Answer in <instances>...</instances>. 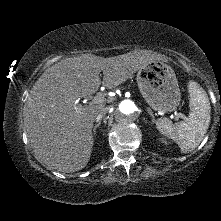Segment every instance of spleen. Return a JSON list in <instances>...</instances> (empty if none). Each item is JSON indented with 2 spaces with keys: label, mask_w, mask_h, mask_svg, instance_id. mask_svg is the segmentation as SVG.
<instances>
[{
  "label": "spleen",
  "mask_w": 221,
  "mask_h": 221,
  "mask_svg": "<svg viewBox=\"0 0 221 221\" xmlns=\"http://www.w3.org/2000/svg\"><path fill=\"white\" fill-rule=\"evenodd\" d=\"M191 112L186 120L173 124L168 118L156 122L157 129L176 142L182 153L193 151L203 140L210 124V102L205 90L195 81H189Z\"/></svg>",
  "instance_id": "3e777b00"
}]
</instances>
